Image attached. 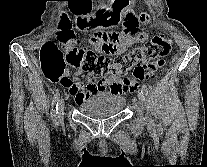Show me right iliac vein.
Masks as SVG:
<instances>
[{"label": "right iliac vein", "mask_w": 207, "mask_h": 167, "mask_svg": "<svg viewBox=\"0 0 207 167\" xmlns=\"http://www.w3.org/2000/svg\"><path fill=\"white\" fill-rule=\"evenodd\" d=\"M64 105H65L64 99H61L58 104V114L60 118L63 116L64 113Z\"/></svg>", "instance_id": "1"}]
</instances>
